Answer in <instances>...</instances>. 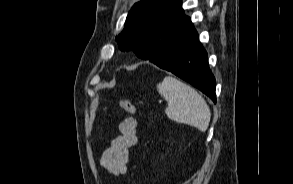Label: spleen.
Returning <instances> with one entry per match:
<instances>
[{
    "label": "spleen",
    "mask_w": 293,
    "mask_h": 184,
    "mask_svg": "<svg viewBox=\"0 0 293 184\" xmlns=\"http://www.w3.org/2000/svg\"><path fill=\"white\" fill-rule=\"evenodd\" d=\"M157 90L168 103L165 113L170 120L194 126L202 132L207 130L211 112L205 99L194 88L167 76L157 84Z\"/></svg>",
    "instance_id": "obj_1"
}]
</instances>
